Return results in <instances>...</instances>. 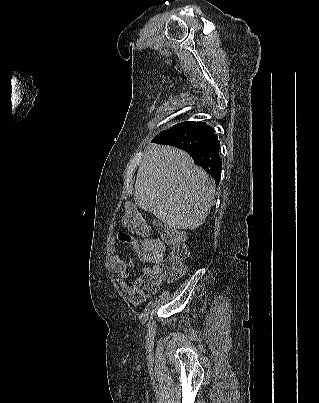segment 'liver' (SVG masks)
Masks as SVG:
<instances>
[{
  "mask_svg": "<svg viewBox=\"0 0 319 403\" xmlns=\"http://www.w3.org/2000/svg\"><path fill=\"white\" fill-rule=\"evenodd\" d=\"M215 197L209 175L183 150L150 144L139 165L135 203L163 224L194 230L204 223Z\"/></svg>",
  "mask_w": 319,
  "mask_h": 403,
  "instance_id": "liver-1",
  "label": "liver"
}]
</instances>
